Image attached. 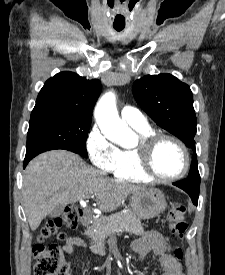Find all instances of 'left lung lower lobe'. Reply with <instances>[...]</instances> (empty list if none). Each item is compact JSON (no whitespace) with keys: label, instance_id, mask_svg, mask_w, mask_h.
Listing matches in <instances>:
<instances>
[{"label":"left lung lower lobe","instance_id":"1","mask_svg":"<svg viewBox=\"0 0 225 275\" xmlns=\"http://www.w3.org/2000/svg\"><path fill=\"white\" fill-rule=\"evenodd\" d=\"M173 185L183 189L185 192L189 194L193 203L195 205L198 204V197H199V186H200V179L190 178L188 177L185 180L175 182Z\"/></svg>","mask_w":225,"mask_h":275}]
</instances>
